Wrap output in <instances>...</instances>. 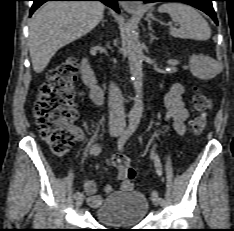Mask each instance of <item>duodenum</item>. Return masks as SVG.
<instances>
[{"instance_id":"1","label":"duodenum","mask_w":234,"mask_h":231,"mask_svg":"<svg viewBox=\"0 0 234 231\" xmlns=\"http://www.w3.org/2000/svg\"><path fill=\"white\" fill-rule=\"evenodd\" d=\"M82 74L85 83L91 88L92 95L95 100H99L102 96L103 89L97 81V77L93 70L92 64L85 61L82 65Z\"/></svg>"}]
</instances>
